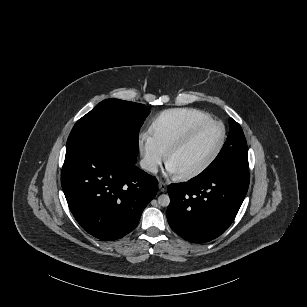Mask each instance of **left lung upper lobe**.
Returning <instances> with one entry per match:
<instances>
[{"mask_svg":"<svg viewBox=\"0 0 307 307\" xmlns=\"http://www.w3.org/2000/svg\"><path fill=\"white\" fill-rule=\"evenodd\" d=\"M229 126L230 131L220 153L198 176L225 168H238L248 171L247 143L242 128L232 118L229 119Z\"/></svg>","mask_w":307,"mask_h":307,"instance_id":"obj_1","label":"left lung upper lobe"}]
</instances>
